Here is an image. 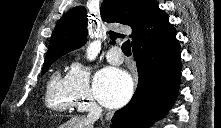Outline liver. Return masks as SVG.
<instances>
[{"label": "liver", "mask_w": 221, "mask_h": 128, "mask_svg": "<svg viewBox=\"0 0 221 128\" xmlns=\"http://www.w3.org/2000/svg\"><path fill=\"white\" fill-rule=\"evenodd\" d=\"M93 121L85 117H72L69 121L61 125L60 128H93Z\"/></svg>", "instance_id": "liver-1"}]
</instances>
